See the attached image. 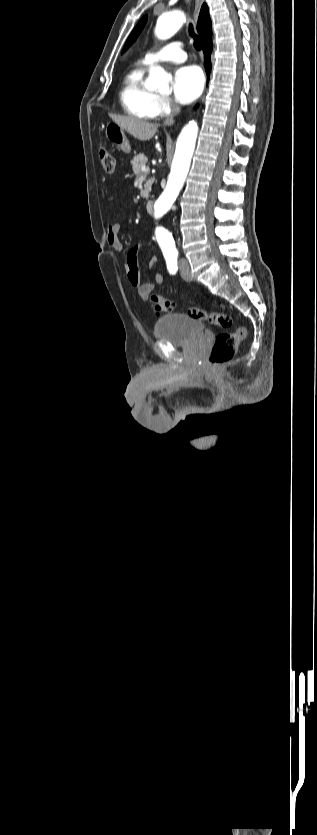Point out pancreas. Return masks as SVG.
<instances>
[{"label": "pancreas", "mask_w": 317, "mask_h": 835, "mask_svg": "<svg viewBox=\"0 0 317 835\" xmlns=\"http://www.w3.org/2000/svg\"><path fill=\"white\" fill-rule=\"evenodd\" d=\"M147 161H148V159L144 154H139V155H136V156L133 157V159L131 160V165H132V170H133L135 175L142 176V177H146L148 175L150 170L144 172L141 169L142 166H146ZM153 180L154 179H150L144 184V190L141 191V196L143 198H148L149 197V192L151 191V186H152Z\"/></svg>", "instance_id": "cf45deb5"}]
</instances>
